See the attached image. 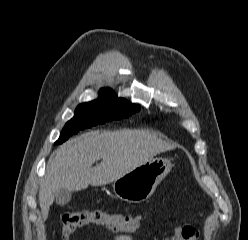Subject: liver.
Masks as SVG:
<instances>
[{
  "instance_id": "6515ba94",
  "label": "liver",
  "mask_w": 248,
  "mask_h": 240,
  "mask_svg": "<svg viewBox=\"0 0 248 240\" xmlns=\"http://www.w3.org/2000/svg\"><path fill=\"white\" fill-rule=\"evenodd\" d=\"M173 146L146 131H90L59 147L49 158L39 189L42 217L47 219L54 194L60 189L80 191L89 185L114 182ZM102 160L92 167L93 163Z\"/></svg>"
}]
</instances>
